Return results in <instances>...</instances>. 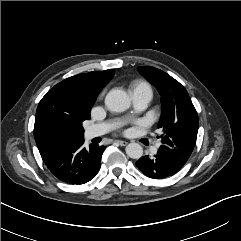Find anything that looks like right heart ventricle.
<instances>
[{
  "mask_svg": "<svg viewBox=\"0 0 241 241\" xmlns=\"http://www.w3.org/2000/svg\"><path fill=\"white\" fill-rule=\"evenodd\" d=\"M139 89H148L151 91L150 85L143 80H136L131 84V91L134 92Z\"/></svg>",
  "mask_w": 241,
  "mask_h": 241,
  "instance_id": "right-heart-ventricle-1",
  "label": "right heart ventricle"
}]
</instances>
